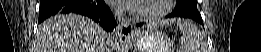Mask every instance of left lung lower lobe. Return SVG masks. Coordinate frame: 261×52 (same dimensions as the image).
<instances>
[{"label":"left lung lower lobe","mask_w":261,"mask_h":52,"mask_svg":"<svg viewBox=\"0 0 261 52\" xmlns=\"http://www.w3.org/2000/svg\"><path fill=\"white\" fill-rule=\"evenodd\" d=\"M166 17H167V18H171V17H186V18H191V19H193L192 17L186 16V15H184V14L176 13V12H173V13L167 15ZM193 20H195V19H193ZM195 21H197V22H199V23H202V22H203L202 20H195ZM142 24H143V23L137 24V26H141Z\"/></svg>","instance_id":"1"}]
</instances>
